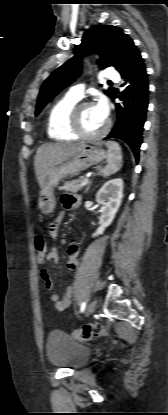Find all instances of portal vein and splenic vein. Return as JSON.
Wrapping results in <instances>:
<instances>
[{"label": "portal vein and splenic vein", "mask_w": 168, "mask_h": 415, "mask_svg": "<svg viewBox=\"0 0 168 415\" xmlns=\"http://www.w3.org/2000/svg\"><path fill=\"white\" fill-rule=\"evenodd\" d=\"M89 179L85 178L82 183H81V187L85 186L88 183Z\"/></svg>", "instance_id": "obj_1"}]
</instances>
